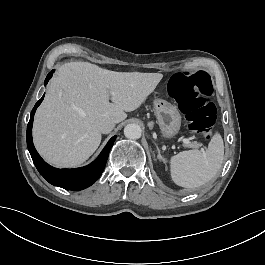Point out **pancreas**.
<instances>
[{
    "instance_id": "cf45deb5",
    "label": "pancreas",
    "mask_w": 265,
    "mask_h": 265,
    "mask_svg": "<svg viewBox=\"0 0 265 265\" xmlns=\"http://www.w3.org/2000/svg\"><path fill=\"white\" fill-rule=\"evenodd\" d=\"M200 144H197V143H192L190 144V147H195V146H199Z\"/></svg>"
}]
</instances>
